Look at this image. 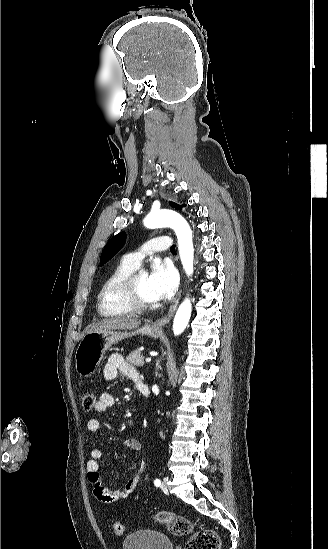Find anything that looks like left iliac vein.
<instances>
[{
    "mask_svg": "<svg viewBox=\"0 0 328 549\" xmlns=\"http://www.w3.org/2000/svg\"><path fill=\"white\" fill-rule=\"evenodd\" d=\"M167 480H168V479H167L166 477L163 478V480H162L161 489H162L164 492H166L167 489H168Z\"/></svg>",
    "mask_w": 328,
    "mask_h": 549,
    "instance_id": "left-iliac-vein-1",
    "label": "left iliac vein"
}]
</instances>
